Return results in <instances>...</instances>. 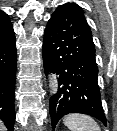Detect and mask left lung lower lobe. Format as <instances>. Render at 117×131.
<instances>
[{
  "label": "left lung lower lobe",
  "instance_id": "left-lung-lower-lobe-1",
  "mask_svg": "<svg viewBox=\"0 0 117 131\" xmlns=\"http://www.w3.org/2000/svg\"><path fill=\"white\" fill-rule=\"evenodd\" d=\"M43 63L46 74L59 75L60 87L49 104L53 127L68 113L87 114L106 125L91 30L73 3L60 5L48 21Z\"/></svg>",
  "mask_w": 117,
  "mask_h": 131
}]
</instances>
